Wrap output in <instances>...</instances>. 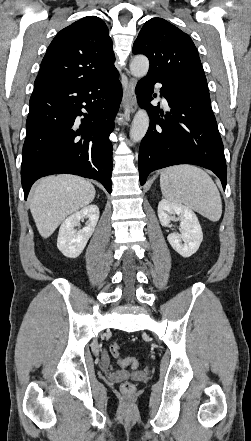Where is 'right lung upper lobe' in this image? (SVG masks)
Returning a JSON list of instances; mask_svg holds the SVG:
<instances>
[{"label": "right lung upper lobe", "mask_w": 251, "mask_h": 441, "mask_svg": "<svg viewBox=\"0 0 251 441\" xmlns=\"http://www.w3.org/2000/svg\"><path fill=\"white\" fill-rule=\"evenodd\" d=\"M112 40L105 22L87 16L62 29L42 60L35 89L72 85L116 70Z\"/></svg>", "instance_id": "cb5924a9"}]
</instances>
